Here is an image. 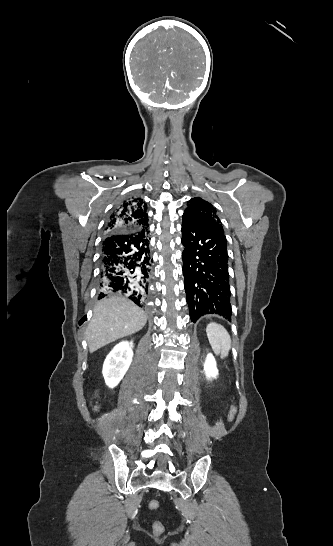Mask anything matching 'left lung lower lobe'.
Here are the masks:
<instances>
[{
	"mask_svg": "<svg viewBox=\"0 0 333 546\" xmlns=\"http://www.w3.org/2000/svg\"><path fill=\"white\" fill-rule=\"evenodd\" d=\"M183 274L190 318L204 315L231 320L227 240L216 223L198 222L183 216Z\"/></svg>",
	"mask_w": 333,
	"mask_h": 546,
	"instance_id": "1",
	"label": "left lung lower lobe"
}]
</instances>
